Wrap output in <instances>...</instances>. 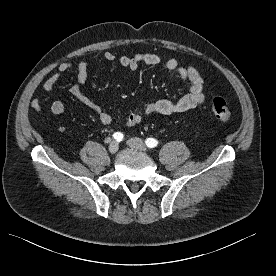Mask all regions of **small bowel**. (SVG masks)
I'll return each mask as SVG.
<instances>
[{"label": "small bowel", "mask_w": 276, "mask_h": 276, "mask_svg": "<svg viewBox=\"0 0 276 276\" xmlns=\"http://www.w3.org/2000/svg\"><path fill=\"white\" fill-rule=\"evenodd\" d=\"M105 61L113 62L116 60V55L110 51H106L103 55ZM119 63L122 67L129 69L131 72H136L141 64L156 66L162 64L164 69L169 72L170 77L178 76L181 81L189 84L188 93L179 99L177 102H171L168 100H158L149 103L142 111L130 112L125 118V124L127 126H135L141 123L142 119L146 115L162 114L171 115L174 113L186 112L194 109L201 104L205 99L203 90V79L198 72L192 66L183 67L178 65L177 61L173 58H169L162 62L160 56L156 54H137L135 56H121ZM73 65L69 62H62L58 70L59 72H66L71 69ZM76 78L78 84H74L70 87L69 91L76 99L86 105L92 111L96 113L99 121L104 125H109L114 122V118L102 111L101 107L90 99L81 89L79 84H84L89 78L88 66L85 61H79L76 66ZM59 72L52 73L44 82L43 89L45 92L50 93L54 89L58 79ZM31 107L40 111L42 105L37 98L31 101ZM66 110L64 102L56 100L51 105V111L54 115H62Z\"/></svg>", "instance_id": "1"}]
</instances>
